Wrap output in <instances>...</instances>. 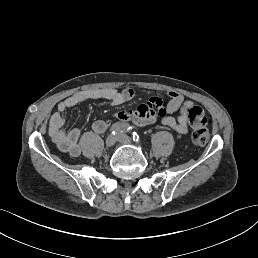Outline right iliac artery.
Returning <instances> with one entry per match:
<instances>
[{"instance_id":"right-iliac-artery-1","label":"right iliac artery","mask_w":258,"mask_h":258,"mask_svg":"<svg viewBox=\"0 0 258 258\" xmlns=\"http://www.w3.org/2000/svg\"><path fill=\"white\" fill-rule=\"evenodd\" d=\"M132 127L129 124L126 123H115L111 126L110 131L111 134L117 135L123 132L130 131Z\"/></svg>"}]
</instances>
